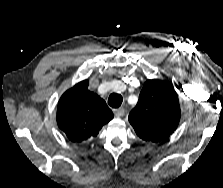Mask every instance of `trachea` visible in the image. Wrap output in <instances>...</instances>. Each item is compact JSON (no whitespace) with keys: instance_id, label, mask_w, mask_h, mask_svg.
Segmentation results:
<instances>
[{"instance_id":"1","label":"trachea","mask_w":223,"mask_h":188,"mask_svg":"<svg viewBox=\"0 0 223 188\" xmlns=\"http://www.w3.org/2000/svg\"><path fill=\"white\" fill-rule=\"evenodd\" d=\"M123 98L120 94L113 93L108 98V104L113 108H118L121 106Z\"/></svg>"}]
</instances>
